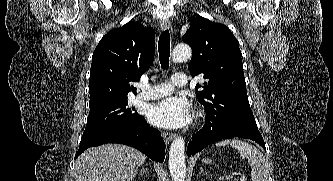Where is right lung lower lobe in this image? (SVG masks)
Segmentation results:
<instances>
[{
  "instance_id": "1",
  "label": "right lung lower lobe",
  "mask_w": 333,
  "mask_h": 181,
  "mask_svg": "<svg viewBox=\"0 0 333 181\" xmlns=\"http://www.w3.org/2000/svg\"><path fill=\"white\" fill-rule=\"evenodd\" d=\"M106 143H119L134 147L159 162H163L165 157V143L161 133L150 127L143 116L126 124L83 134L76 157L89 147Z\"/></svg>"
}]
</instances>
